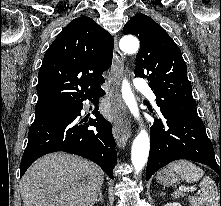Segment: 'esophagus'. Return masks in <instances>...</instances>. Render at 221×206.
Returning <instances> with one entry per match:
<instances>
[{
	"instance_id": "esophagus-1",
	"label": "esophagus",
	"mask_w": 221,
	"mask_h": 206,
	"mask_svg": "<svg viewBox=\"0 0 221 206\" xmlns=\"http://www.w3.org/2000/svg\"><path fill=\"white\" fill-rule=\"evenodd\" d=\"M124 59H125L124 55L118 48L117 37H115L112 74L109 80V85H110V92L116 114L113 125V135L116 139L118 146L122 148L125 147L130 137L129 122L125 121L124 123H121L117 119L118 114L123 113L125 110V106L119 92L121 76L123 73Z\"/></svg>"
}]
</instances>
